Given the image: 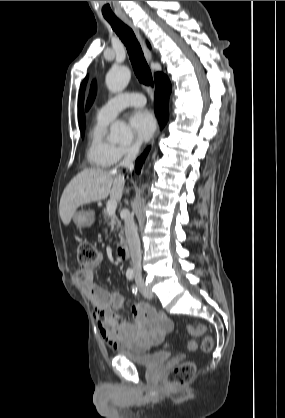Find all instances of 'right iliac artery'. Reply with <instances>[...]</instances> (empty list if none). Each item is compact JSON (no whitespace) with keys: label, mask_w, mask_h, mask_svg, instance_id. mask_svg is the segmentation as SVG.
<instances>
[{"label":"right iliac artery","mask_w":285,"mask_h":418,"mask_svg":"<svg viewBox=\"0 0 285 418\" xmlns=\"http://www.w3.org/2000/svg\"><path fill=\"white\" fill-rule=\"evenodd\" d=\"M126 277H127V279H128V280H132V279H133V277H134V272H133V270H132V269H128V270L126 271Z\"/></svg>","instance_id":"right-iliac-artery-1"}]
</instances>
